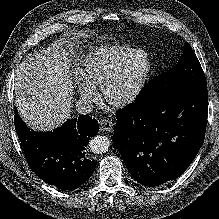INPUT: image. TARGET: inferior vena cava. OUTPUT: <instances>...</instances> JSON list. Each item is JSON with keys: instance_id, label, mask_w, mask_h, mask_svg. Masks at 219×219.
I'll list each match as a JSON object with an SVG mask.
<instances>
[{"instance_id": "1", "label": "inferior vena cava", "mask_w": 219, "mask_h": 219, "mask_svg": "<svg viewBox=\"0 0 219 219\" xmlns=\"http://www.w3.org/2000/svg\"><path fill=\"white\" fill-rule=\"evenodd\" d=\"M94 105L91 101L81 99L76 102V111L80 114L86 115L93 111Z\"/></svg>"}]
</instances>
